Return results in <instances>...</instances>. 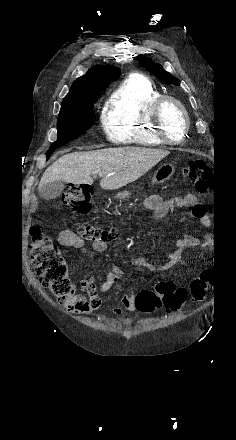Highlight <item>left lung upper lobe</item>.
Listing matches in <instances>:
<instances>
[{"label": "left lung upper lobe", "mask_w": 236, "mask_h": 440, "mask_svg": "<svg viewBox=\"0 0 236 440\" xmlns=\"http://www.w3.org/2000/svg\"><path fill=\"white\" fill-rule=\"evenodd\" d=\"M135 60H138L142 67L155 74L158 79L164 82H169L173 85H179L178 80L173 75L165 71L161 65L152 62L150 58L140 55L135 57Z\"/></svg>", "instance_id": "obj_1"}]
</instances>
